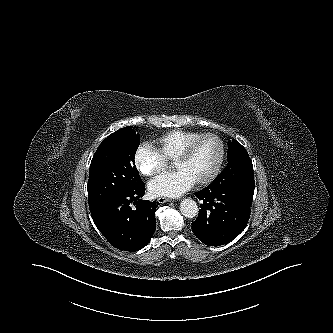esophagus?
Listing matches in <instances>:
<instances>
[{"instance_id": "34e87169", "label": "esophagus", "mask_w": 333, "mask_h": 333, "mask_svg": "<svg viewBox=\"0 0 333 333\" xmlns=\"http://www.w3.org/2000/svg\"><path fill=\"white\" fill-rule=\"evenodd\" d=\"M170 201H172V199H170V198H166V197H159L158 198L159 203H165V202H170Z\"/></svg>"}]
</instances>
